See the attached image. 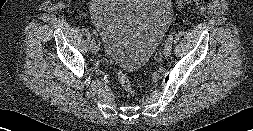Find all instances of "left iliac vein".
Here are the masks:
<instances>
[{"mask_svg":"<svg viewBox=\"0 0 253 131\" xmlns=\"http://www.w3.org/2000/svg\"><path fill=\"white\" fill-rule=\"evenodd\" d=\"M172 49L170 45H165V48L163 50V55L165 57H169L171 55Z\"/></svg>","mask_w":253,"mask_h":131,"instance_id":"1","label":"left iliac vein"}]
</instances>
